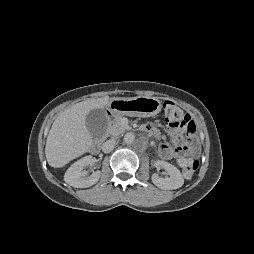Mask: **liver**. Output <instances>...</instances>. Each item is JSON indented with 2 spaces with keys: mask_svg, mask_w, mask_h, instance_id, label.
I'll list each match as a JSON object with an SVG mask.
<instances>
[{
  "mask_svg": "<svg viewBox=\"0 0 254 254\" xmlns=\"http://www.w3.org/2000/svg\"><path fill=\"white\" fill-rule=\"evenodd\" d=\"M111 99L109 96L87 99L72 105L55 119L45 147L51 167L61 168L88 151L92 137L86 127V116L93 109L106 107Z\"/></svg>",
  "mask_w": 254,
  "mask_h": 254,
  "instance_id": "obj_1",
  "label": "liver"
}]
</instances>
